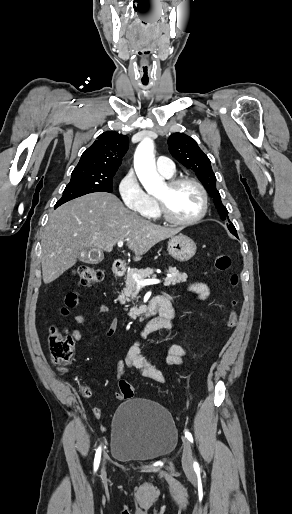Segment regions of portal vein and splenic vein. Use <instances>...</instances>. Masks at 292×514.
Returning <instances> with one entry per match:
<instances>
[{
	"label": "portal vein and splenic vein",
	"mask_w": 292,
	"mask_h": 514,
	"mask_svg": "<svg viewBox=\"0 0 292 514\" xmlns=\"http://www.w3.org/2000/svg\"><path fill=\"white\" fill-rule=\"evenodd\" d=\"M119 248H122L123 242H118ZM133 278L137 284V286H150V284H160L161 280H141V276L138 274H133Z\"/></svg>",
	"instance_id": "portal-vein-and-splenic-vein-1"
}]
</instances>
